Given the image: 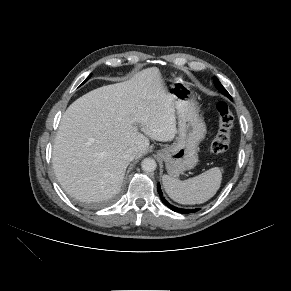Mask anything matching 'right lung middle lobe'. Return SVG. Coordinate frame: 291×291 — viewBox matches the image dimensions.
Wrapping results in <instances>:
<instances>
[{
  "mask_svg": "<svg viewBox=\"0 0 291 291\" xmlns=\"http://www.w3.org/2000/svg\"><path fill=\"white\" fill-rule=\"evenodd\" d=\"M90 77H91V74L87 77V79L82 84H84Z\"/></svg>",
  "mask_w": 291,
  "mask_h": 291,
  "instance_id": "1",
  "label": "right lung middle lobe"
}]
</instances>
